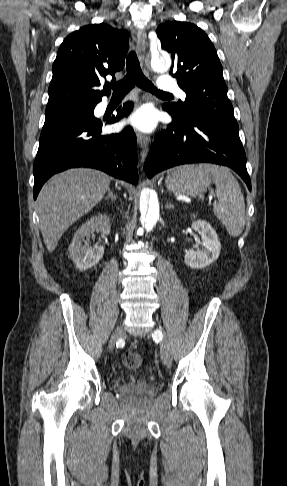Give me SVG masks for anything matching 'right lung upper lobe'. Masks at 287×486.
I'll return each mask as SVG.
<instances>
[{"instance_id": "obj_1", "label": "right lung upper lobe", "mask_w": 287, "mask_h": 486, "mask_svg": "<svg viewBox=\"0 0 287 486\" xmlns=\"http://www.w3.org/2000/svg\"><path fill=\"white\" fill-rule=\"evenodd\" d=\"M128 33L105 23L87 25L68 35L53 63L46 109L96 103L110 89L97 90L103 78L124 68ZM115 78L113 79V81Z\"/></svg>"}]
</instances>
